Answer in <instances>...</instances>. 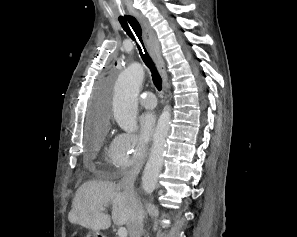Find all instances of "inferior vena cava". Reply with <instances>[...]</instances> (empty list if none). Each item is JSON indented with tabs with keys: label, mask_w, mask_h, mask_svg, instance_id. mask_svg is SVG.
<instances>
[{
	"label": "inferior vena cava",
	"mask_w": 297,
	"mask_h": 237,
	"mask_svg": "<svg viewBox=\"0 0 297 237\" xmlns=\"http://www.w3.org/2000/svg\"><path fill=\"white\" fill-rule=\"evenodd\" d=\"M139 171V167L132 168L125 173L118 183V186L123 189V193L127 197L129 203V220L127 223L129 237H141L143 233V218L145 211L142 203L136 198L134 193V182Z\"/></svg>",
	"instance_id": "1"
}]
</instances>
